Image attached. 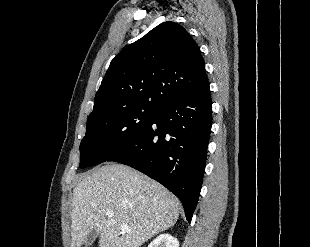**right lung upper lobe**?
Returning a JSON list of instances; mask_svg holds the SVG:
<instances>
[{"instance_id": "cb5924a9", "label": "right lung upper lobe", "mask_w": 310, "mask_h": 247, "mask_svg": "<svg viewBox=\"0 0 310 247\" xmlns=\"http://www.w3.org/2000/svg\"><path fill=\"white\" fill-rule=\"evenodd\" d=\"M208 82L200 49L181 25L164 22L111 61L88 120L126 109H159Z\"/></svg>"}]
</instances>
